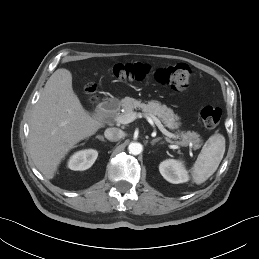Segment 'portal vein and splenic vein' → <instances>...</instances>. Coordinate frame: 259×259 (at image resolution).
I'll return each instance as SVG.
<instances>
[{"instance_id":"portal-vein-and-splenic-vein-1","label":"portal vein and splenic vein","mask_w":259,"mask_h":259,"mask_svg":"<svg viewBox=\"0 0 259 259\" xmlns=\"http://www.w3.org/2000/svg\"><path fill=\"white\" fill-rule=\"evenodd\" d=\"M144 117L147 118V120L150 123H155L156 126L159 128V130L165 136H167L169 138H174V139L178 138L177 135H175V134L169 132L168 130H166L157 117H155L153 115H149V114H144ZM136 118H142V114L141 113L137 114L135 112H130V113H127V114H121V115H118V116L115 117V121L117 123H120V124H128V123L133 122Z\"/></svg>"}]
</instances>
